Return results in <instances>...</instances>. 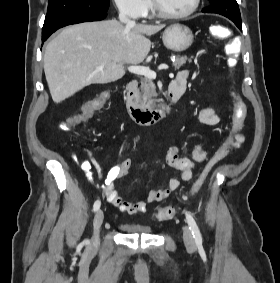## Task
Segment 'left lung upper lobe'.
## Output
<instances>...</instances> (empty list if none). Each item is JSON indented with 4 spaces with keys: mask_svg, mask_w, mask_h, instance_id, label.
I'll list each match as a JSON object with an SVG mask.
<instances>
[{
    "mask_svg": "<svg viewBox=\"0 0 280 283\" xmlns=\"http://www.w3.org/2000/svg\"><path fill=\"white\" fill-rule=\"evenodd\" d=\"M211 6L202 10L204 13H217L229 19L241 21V15L236 0H208Z\"/></svg>",
    "mask_w": 280,
    "mask_h": 283,
    "instance_id": "left-lung-upper-lobe-1",
    "label": "left lung upper lobe"
}]
</instances>
